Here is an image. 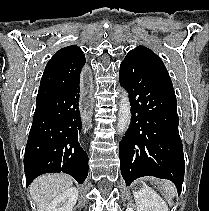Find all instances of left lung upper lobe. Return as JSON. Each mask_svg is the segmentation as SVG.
<instances>
[{
    "instance_id": "1",
    "label": "left lung upper lobe",
    "mask_w": 209,
    "mask_h": 211,
    "mask_svg": "<svg viewBox=\"0 0 209 211\" xmlns=\"http://www.w3.org/2000/svg\"><path fill=\"white\" fill-rule=\"evenodd\" d=\"M127 55H134L139 58L145 65H147L150 69L155 71L156 73L162 75L170 79V76L167 72V69L160 59L153 51L144 47L137 46L134 50H131ZM171 80V79H170Z\"/></svg>"
}]
</instances>
